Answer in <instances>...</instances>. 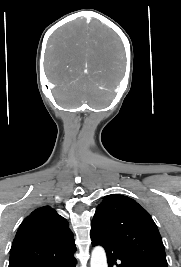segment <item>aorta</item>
Masks as SVG:
<instances>
[{"label":"aorta","instance_id":"1","mask_svg":"<svg viewBox=\"0 0 181 267\" xmlns=\"http://www.w3.org/2000/svg\"><path fill=\"white\" fill-rule=\"evenodd\" d=\"M90 267H108L105 250L97 246L92 250Z\"/></svg>","mask_w":181,"mask_h":267}]
</instances>
